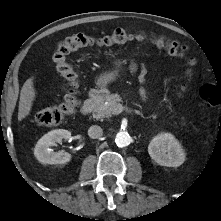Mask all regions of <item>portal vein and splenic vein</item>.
I'll return each instance as SVG.
<instances>
[{"mask_svg":"<svg viewBox=\"0 0 221 221\" xmlns=\"http://www.w3.org/2000/svg\"><path fill=\"white\" fill-rule=\"evenodd\" d=\"M124 110V107L122 106V104H117L115 107H114V114L118 115L120 114L122 111Z\"/></svg>","mask_w":221,"mask_h":221,"instance_id":"18ae733b","label":"portal vein and splenic vein"}]
</instances>
